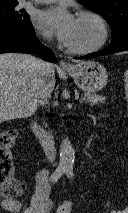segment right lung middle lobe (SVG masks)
Masks as SVG:
<instances>
[{"mask_svg":"<svg viewBox=\"0 0 128 213\" xmlns=\"http://www.w3.org/2000/svg\"><path fill=\"white\" fill-rule=\"evenodd\" d=\"M17 4L0 6V29H16L28 27L30 16L24 10H17Z\"/></svg>","mask_w":128,"mask_h":213,"instance_id":"1","label":"right lung middle lobe"}]
</instances>
